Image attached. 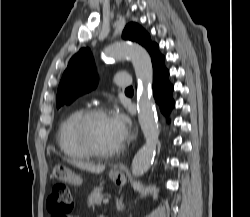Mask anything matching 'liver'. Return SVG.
I'll use <instances>...</instances> for the list:
<instances>
[{
    "mask_svg": "<svg viewBox=\"0 0 250 217\" xmlns=\"http://www.w3.org/2000/svg\"><path fill=\"white\" fill-rule=\"evenodd\" d=\"M72 165L79 167L82 170L89 171L91 173H102L105 170L104 165H94L89 162L83 161H69Z\"/></svg>",
    "mask_w": 250,
    "mask_h": 217,
    "instance_id": "obj_1",
    "label": "liver"
}]
</instances>
